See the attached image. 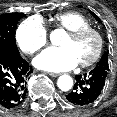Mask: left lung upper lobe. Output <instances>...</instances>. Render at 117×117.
<instances>
[{"instance_id":"obj_1","label":"left lung upper lobe","mask_w":117,"mask_h":117,"mask_svg":"<svg viewBox=\"0 0 117 117\" xmlns=\"http://www.w3.org/2000/svg\"><path fill=\"white\" fill-rule=\"evenodd\" d=\"M90 14L98 21L100 22V19L93 13L90 11ZM108 51L105 52L102 56V58L100 59V61L98 62V64L96 65L95 68H102L105 70H109V62H108Z\"/></svg>"}]
</instances>
